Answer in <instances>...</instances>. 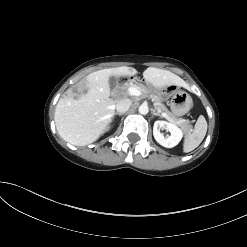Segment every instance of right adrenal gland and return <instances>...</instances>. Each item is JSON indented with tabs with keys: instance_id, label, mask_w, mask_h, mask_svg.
Listing matches in <instances>:
<instances>
[{
	"instance_id": "right-adrenal-gland-1",
	"label": "right adrenal gland",
	"mask_w": 247,
	"mask_h": 247,
	"mask_svg": "<svg viewBox=\"0 0 247 247\" xmlns=\"http://www.w3.org/2000/svg\"><path fill=\"white\" fill-rule=\"evenodd\" d=\"M114 115H119V116H121L122 113L115 112Z\"/></svg>"
}]
</instances>
